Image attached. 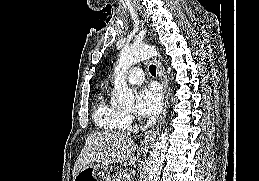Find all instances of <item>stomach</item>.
<instances>
[{
  "instance_id": "0dacf381",
  "label": "stomach",
  "mask_w": 259,
  "mask_h": 181,
  "mask_svg": "<svg viewBox=\"0 0 259 181\" xmlns=\"http://www.w3.org/2000/svg\"><path fill=\"white\" fill-rule=\"evenodd\" d=\"M109 169L102 164H91L81 170L73 179V181H109Z\"/></svg>"
}]
</instances>
